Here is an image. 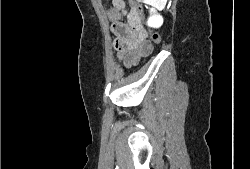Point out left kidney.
<instances>
[{
	"label": "left kidney",
	"instance_id": "1",
	"mask_svg": "<svg viewBox=\"0 0 250 169\" xmlns=\"http://www.w3.org/2000/svg\"><path fill=\"white\" fill-rule=\"evenodd\" d=\"M147 24L148 26H154V28H158V26L163 24V16H161V14H152V16H149Z\"/></svg>",
	"mask_w": 250,
	"mask_h": 169
}]
</instances>
